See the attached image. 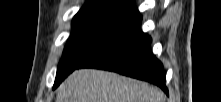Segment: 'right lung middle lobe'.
Wrapping results in <instances>:
<instances>
[{"instance_id":"dd1d6c3e","label":"right lung middle lobe","mask_w":221,"mask_h":102,"mask_svg":"<svg viewBox=\"0 0 221 102\" xmlns=\"http://www.w3.org/2000/svg\"><path fill=\"white\" fill-rule=\"evenodd\" d=\"M138 10L97 3L82 7L57 69L55 83L65 79L88 57L139 20ZM54 83V84H55Z\"/></svg>"}]
</instances>
